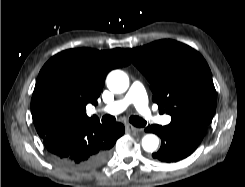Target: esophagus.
<instances>
[{"instance_id":"1","label":"esophagus","mask_w":245,"mask_h":187,"mask_svg":"<svg viewBox=\"0 0 245 187\" xmlns=\"http://www.w3.org/2000/svg\"><path fill=\"white\" fill-rule=\"evenodd\" d=\"M126 130L129 131V132H140L142 131L143 129L142 128H137L131 124H127L126 125Z\"/></svg>"}]
</instances>
